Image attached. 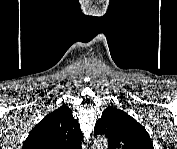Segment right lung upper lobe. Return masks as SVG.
<instances>
[{"instance_id": "right-lung-upper-lobe-1", "label": "right lung upper lobe", "mask_w": 177, "mask_h": 149, "mask_svg": "<svg viewBox=\"0 0 177 149\" xmlns=\"http://www.w3.org/2000/svg\"><path fill=\"white\" fill-rule=\"evenodd\" d=\"M83 134L72 111L63 105L49 113L29 133L24 149H81Z\"/></svg>"}]
</instances>
